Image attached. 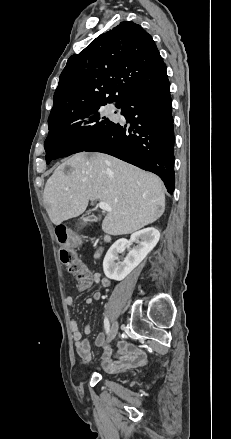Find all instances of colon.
Segmentation results:
<instances>
[{
	"label": "colon",
	"mask_w": 231,
	"mask_h": 439,
	"mask_svg": "<svg viewBox=\"0 0 231 439\" xmlns=\"http://www.w3.org/2000/svg\"><path fill=\"white\" fill-rule=\"evenodd\" d=\"M59 247V259L67 267L69 273L76 277L77 286L80 290H86L91 285V277L85 265L77 259L74 248L80 246L81 238L78 235L69 236L65 226H59L55 230Z\"/></svg>",
	"instance_id": "5ec220e1"
}]
</instances>
